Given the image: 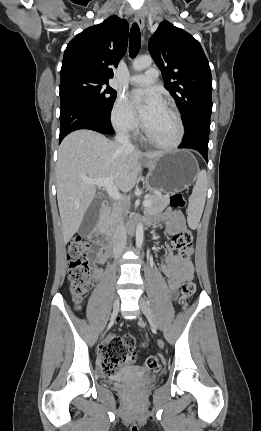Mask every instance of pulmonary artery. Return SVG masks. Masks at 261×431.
Here are the masks:
<instances>
[{"label":"pulmonary artery","instance_id":"e3ab8cb5","mask_svg":"<svg viewBox=\"0 0 261 431\" xmlns=\"http://www.w3.org/2000/svg\"><path fill=\"white\" fill-rule=\"evenodd\" d=\"M159 71L156 68H149L144 74H135L129 77V82L133 85H149L157 81Z\"/></svg>","mask_w":261,"mask_h":431}]
</instances>
